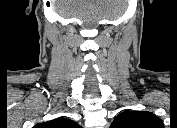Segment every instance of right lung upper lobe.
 <instances>
[{
    "label": "right lung upper lobe",
    "mask_w": 177,
    "mask_h": 128,
    "mask_svg": "<svg viewBox=\"0 0 177 128\" xmlns=\"http://www.w3.org/2000/svg\"><path fill=\"white\" fill-rule=\"evenodd\" d=\"M35 127L37 128H81L79 124L67 118H57L44 123H39Z\"/></svg>",
    "instance_id": "cb5924a9"
}]
</instances>
